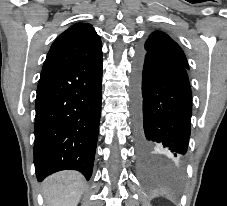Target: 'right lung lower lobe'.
I'll use <instances>...</instances> for the list:
<instances>
[{
    "instance_id": "right-lung-lower-lobe-1",
    "label": "right lung lower lobe",
    "mask_w": 227,
    "mask_h": 206,
    "mask_svg": "<svg viewBox=\"0 0 227 206\" xmlns=\"http://www.w3.org/2000/svg\"><path fill=\"white\" fill-rule=\"evenodd\" d=\"M102 94V58L40 77L34 164L38 181L61 170H93Z\"/></svg>"
}]
</instances>
